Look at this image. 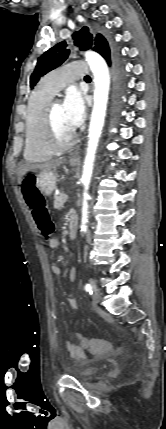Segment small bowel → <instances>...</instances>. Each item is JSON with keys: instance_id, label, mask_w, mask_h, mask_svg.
<instances>
[{"instance_id": "obj_1", "label": "small bowel", "mask_w": 166, "mask_h": 429, "mask_svg": "<svg viewBox=\"0 0 166 429\" xmlns=\"http://www.w3.org/2000/svg\"><path fill=\"white\" fill-rule=\"evenodd\" d=\"M49 246L51 248H53V249L57 248L59 246L58 239H56V238L51 239L49 241ZM51 271L55 275H61L63 273L62 269L59 266H57V265H52L51 266ZM76 276H77L76 269L75 268H71L68 271V277H69V279L71 281H75L76 280ZM68 301H69V304H70V306H71L72 309H74V310L78 309L77 302H76V300L73 297H69ZM65 348L69 352L70 356L73 359H75L77 361H80V362H86L87 361L88 357H87V354H86V350H85V348L83 346L74 344V343H72L70 341H66L65 342Z\"/></svg>"}]
</instances>
